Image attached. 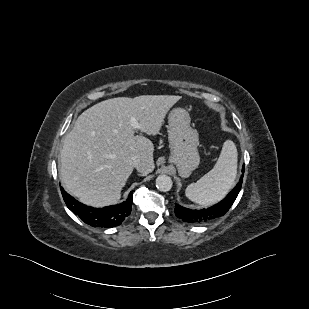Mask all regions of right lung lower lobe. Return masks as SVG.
I'll return each instance as SVG.
<instances>
[{
  "mask_svg": "<svg viewBox=\"0 0 309 309\" xmlns=\"http://www.w3.org/2000/svg\"><path fill=\"white\" fill-rule=\"evenodd\" d=\"M67 207L75 213L82 221L93 227L111 228L120 225L130 215L132 208V195L130 192L126 201L121 204L103 208H93L84 205L70 196L60 187Z\"/></svg>",
  "mask_w": 309,
  "mask_h": 309,
  "instance_id": "98d812e1",
  "label": "right lung lower lobe"
}]
</instances>
